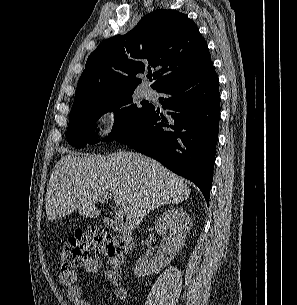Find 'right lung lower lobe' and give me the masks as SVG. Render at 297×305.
Wrapping results in <instances>:
<instances>
[{"label": "right lung lower lobe", "mask_w": 297, "mask_h": 305, "mask_svg": "<svg viewBox=\"0 0 297 305\" xmlns=\"http://www.w3.org/2000/svg\"><path fill=\"white\" fill-rule=\"evenodd\" d=\"M157 92L165 94L159 98L168 110L165 115L152 105L144 118L115 139L194 182L209 204L220 118L215 69Z\"/></svg>", "instance_id": "1"}]
</instances>
